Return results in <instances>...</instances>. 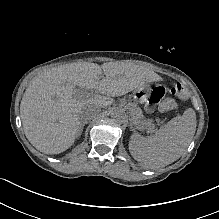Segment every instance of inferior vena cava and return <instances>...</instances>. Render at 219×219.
I'll return each mask as SVG.
<instances>
[{"mask_svg":"<svg viewBox=\"0 0 219 219\" xmlns=\"http://www.w3.org/2000/svg\"><path fill=\"white\" fill-rule=\"evenodd\" d=\"M96 109L93 106H86L78 111V118L81 121H88L96 116Z\"/></svg>","mask_w":219,"mask_h":219,"instance_id":"inferior-vena-cava-1","label":"inferior vena cava"}]
</instances>
